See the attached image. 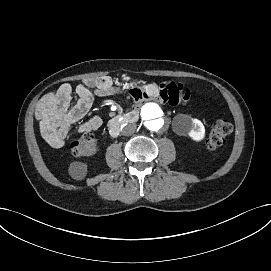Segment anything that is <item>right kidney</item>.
I'll list each match as a JSON object with an SVG mask.
<instances>
[{
  "instance_id": "obj_1",
  "label": "right kidney",
  "mask_w": 271,
  "mask_h": 271,
  "mask_svg": "<svg viewBox=\"0 0 271 271\" xmlns=\"http://www.w3.org/2000/svg\"><path fill=\"white\" fill-rule=\"evenodd\" d=\"M69 174L73 179L82 180L87 174V165L81 162H73L69 166Z\"/></svg>"
}]
</instances>
